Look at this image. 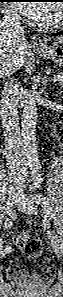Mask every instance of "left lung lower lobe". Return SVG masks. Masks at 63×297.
Returning a JSON list of instances; mask_svg holds the SVG:
<instances>
[{
  "mask_svg": "<svg viewBox=\"0 0 63 297\" xmlns=\"http://www.w3.org/2000/svg\"><path fill=\"white\" fill-rule=\"evenodd\" d=\"M61 34H63V31H61V32H58V33H56V34H53L54 36H57V35H61Z\"/></svg>",
  "mask_w": 63,
  "mask_h": 297,
  "instance_id": "left-lung-lower-lobe-1",
  "label": "left lung lower lobe"
}]
</instances>
